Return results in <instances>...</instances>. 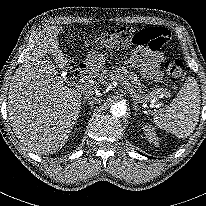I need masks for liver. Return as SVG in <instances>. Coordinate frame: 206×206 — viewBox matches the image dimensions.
<instances>
[{
  "mask_svg": "<svg viewBox=\"0 0 206 206\" xmlns=\"http://www.w3.org/2000/svg\"><path fill=\"white\" fill-rule=\"evenodd\" d=\"M61 31V27L48 26L40 32L33 50L16 69L8 92L14 133L27 149L40 154L56 153L65 144L77 123L82 91L89 88H69L59 75L58 68H66L69 62L59 49ZM85 64L90 72L98 73L105 59L91 53Z\"/></svg>",
  "mask_w": 206,
  "mask_h": 206,
  "instance_id": "liver-1",
  "label": "liver"
}]
</instances>
